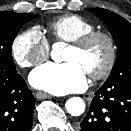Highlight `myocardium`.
<instances>
[{
	"instance_id": "1",
	"label": "myocardium",
	"mask_w": 131,
	"mask_h": 131,
	"mask_svg": "<svg viewBox=\"0 0 131 131\" xmlns=\"http://www.w3.org/2000/svg\"><path fill=\"white\" fill-rule=\"evenodd\" d=\"M98 39H101L106 43L108 48V56L105 64L100 70L89 74L90 79L93 81L107 78L115 67L118 57V47L114 36L106 31L93 30L82 35L75 41L70 42L69 45L71 48L82 51Z\"/></svg>"
}]
</instances>
